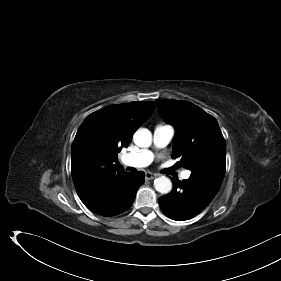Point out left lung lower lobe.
<instances>
[{"instance_id": "obj_1", "label": "left lung lower lobe", "mask_w": 281, "mask_h": 281, "mask_svg": "<svg viewBox=\"0 0 281 281\" xmlns=\"http://www.w3.org/2000/svg\"><path fill=\"white\" fill-rule=\"evenodd\" d=\"M172 181L173 190L159 198V205L166 216L177 221L200 213L213 200L222 183L198 174H191L187 180Z\"/></svg>"}]
</instances>
